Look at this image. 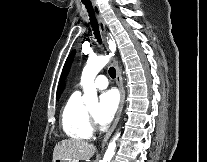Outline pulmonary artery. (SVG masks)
I'll list each match as a JSON object with an SVG mask.
<instances>
[{
	"instance_id": "e3ab8cb5",
	"label": "pulmonary artery",
	"mask_w": 207,
	"mask_h": 162,
	"mask_svg": "<svg viewBox=\"0 0 207 162\" xmlns=\"http://www.w3.org/2000/svg\"><path fill=\"white\" fill-rule=\"evenodd\" d=\"M94 86L98 89H105L108 86V80L104 75H98L94 81Z\"/></svg>"
}]
</instances>
